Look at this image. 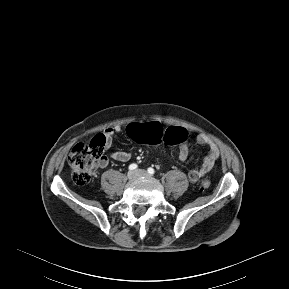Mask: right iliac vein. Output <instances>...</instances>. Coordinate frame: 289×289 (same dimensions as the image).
<instances>
[{"label":"right iliac vein","mask_w":289,"mask_h":289,"mask_svg":"<svg viewBox=\"0 0 289 289\" xmlns=\"http://www.w3.org/2000/svg\"><path fill=\"white\" fill-rule=\"evenodd\" d=\"M128 179L133 180L137 177L136 171H129L127 174Z\"/></svg>","instance_id":"63e3f726"}]
</instances>
